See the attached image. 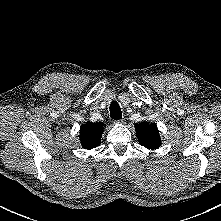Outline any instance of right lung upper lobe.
<instances>
[{"label": "right lung upper lobe", "mask_w": 221, "mask_h": 221, "mask_svg": "<svg viewBox=\"0 0 221 221\" xmlns=\"http://www.w3.org/2000/svg\"><path fill=\"white\" fill-rule=\"evenodd\" d=\"M102 123L87 122L80 129V141L85 149H92L100 145L103 133Z\"/></svg>", "instance_id": "1"}]
</instances>
